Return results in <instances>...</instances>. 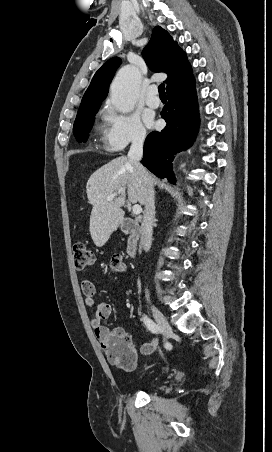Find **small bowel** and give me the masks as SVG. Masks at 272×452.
Wrapping results in <instances>:
<instances>
[{"mask_svg": "<svg viewBox=\"0 0 272 452\" xmlns=\"http://www.w3.org/2000/svg\"><path fill=\"white\" fill-rule=\"evenodd\" d=\"M81 288L84 294V301L88 307H93L95 305V285L87 279L81 282ZM126 295L128 297L133 296L132 290H127ZM112 313V304L109 302H100L96 306L95 313L90 320V325L95 331V336L99 342L101 349L106 350V343L110 337L127 336L122 328H105L102 325V321L108 318ZM158 346V339L156 337L152 338L150 341L144 343L141 346L140 352L142 355H151Z\"/></svg>", "mask_w": 272, "mask_h": 452, "instance_id": "c3829d8e", "label": "small bowel"}]
</instances>
